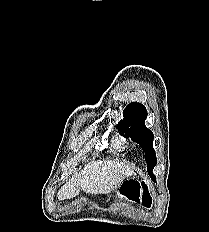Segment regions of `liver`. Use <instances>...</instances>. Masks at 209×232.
Returning <instances> with one entry per match:
<instances>
[{
    "instance_id": "liver-1",
    "label": "liver",
    "mask_w": 209,
    "mask_h": 232,
    "mask_svg": "<svg viewBox=\"0 0 209 232\" xmlns=\"http://www.w3.org/2000/svg\"><path fill=\"white\" fill-rule=\"evenodd\" d=\"M133 174L134 167L125 162L92 161L61 187L57 197L59 200L71 199L79 194L80 188L86 193H109L119 188L123 180Z\"/></svg>"
}]
</instances>
